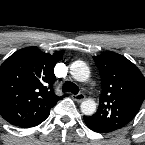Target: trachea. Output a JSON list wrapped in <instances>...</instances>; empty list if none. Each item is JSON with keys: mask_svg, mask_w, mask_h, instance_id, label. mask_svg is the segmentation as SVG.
<instances>
[{"mask_svg": "<svg viewBox=\"0 0 145 145\" xmlns=\"http://www.w3.org/2000/svg\"><path fill=\"white\" fill-rule=\"evenodd\" d=\"M63 92H71L73 94H78L79 88L76 84L71 81H66L62 86Z\"/></svg>", "mask_w": 145, "mask_h": 145, "instance_id": "1", "label": "trachea"}]
</instances>
